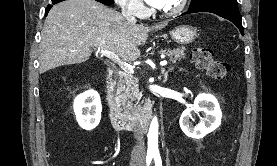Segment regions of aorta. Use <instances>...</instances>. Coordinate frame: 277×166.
I'll list each match as a JSON object with an SVG mask.
<instances>
[{
	"label": "aorta",
	"mask_w": 277,
	"mask_h": 166,
	"mask_svg": "<svg viewBox=\"0 0 277 166\" xmlns=\"http://www.w3.org/2000/svg\"><path fill=\"white\" fill-rule=\"evenodd\" d=\"M158 120L156 117L152 119L148 132V149L157 150L158 149Z\"/></svg>",
	"instance_id": "aorta-1"
}]
</instances>
